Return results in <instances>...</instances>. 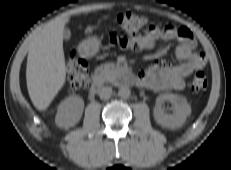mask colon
<instances>
[{"label":"colon","instance_id":"1","mask_svg":"<svg viewBox=\"0 0 231 170\" xmlns=\"http://www.w3.org/2000/svg\"><path fill=\"white\" fill-rule=\"evenodd\" d=\"M146 18L141 14L129 11L120 12L117 15L119 27L128 35L136 36L146 25ZM67 77L71 92H77L88 85V63L87 61L73 52L67 61ZM208 85L207 75L204 70L197 69L189 83L192 92H201Z\"/></svg>","mask_w":231,"mask_h":170}]
</instances>
